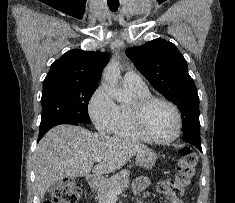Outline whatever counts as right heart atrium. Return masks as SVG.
<instances>
[{
	"instance_id": "d8ad5b80",
	"label": "right heart atrium",
	"mask_w": 235,
	"mask_h": 203,
	"mask_svg": "<svg viewBox=\"0 0 235 203\" xmlns=\"http://www.w3.org/2000/svg\"><path fill=\"white\" fill-rule=\"evenodd\" d=\"M118 112V106L112 99L107 87L99 85L88 102V113L100 132H110Z\"/></svg>"
}]
</instances>
